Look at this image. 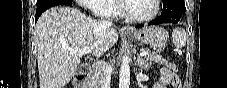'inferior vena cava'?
<instances>
[{"label": "inferior vena cava", "instance_id": "inferior-vena-cava-1", "mask_svg": "<svg viewBox=\"0 0 227 88\" xmlns=\"http://www.w3.org/2000/svg\"><path fill=\"white\" fill-rule=\"evenodd\" d=\"M111 25H112V22L109 21V20H103V21L100 22V26L103 29H106L107 27H111ZM109 78H110L109 69L106 68L105 71H104L103 76L100 79L101 88H110V86H109Z\"/></svg>", "mask_w": 227, "mask_h": 88}]
</instances>
